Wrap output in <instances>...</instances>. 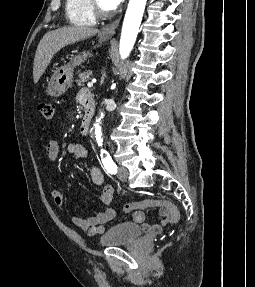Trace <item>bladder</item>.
Instances as JSON below:
<instances>
[{"instance_id":"obj_1","label":"bladder","mask_w":255,"mask_h":287,"mask_svg":"<svg viewBox=\"0 0 255 287\" xmlns=\"http://www.w3.org/2000/svg\"><path fill=\"white\" fill-rule=\"evenodd\" d=\"M144 229L134 222H121L109 228L99 239L102 246H116L135 242Z\"/></svg>"}]
</instances>
